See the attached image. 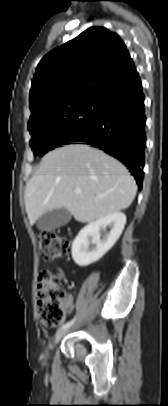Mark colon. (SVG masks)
Here are the masks:
<instances>
[{"label": "colon", "mask_w": 168, "mask_h": 406, "mask_svg": "<svg viewBox=\"0 0 168 406\" xmlns=\"http://www.w3.org/2000/svg\"><path fill=\"white\" fill-rule=\"evenodd\" d=\"M37 242L40 256L44 261H52L66 255L70 243L58 232L44 231L38 234ZM64 277L43 270L37 283V310L42 323L49 326L60 324L64 319L65 290L62 287Z\"/></svg>", "instance_id": "1"}]
</instances>
